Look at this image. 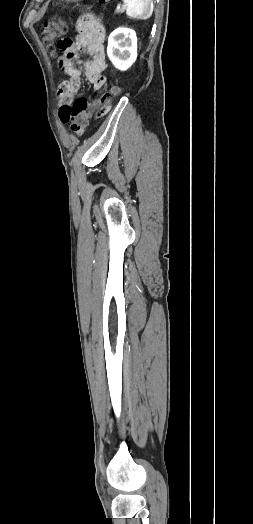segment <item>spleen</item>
Listing matches in <instances>:
<instances>
[{
  "instance_id": "spleen-1",
  "label": "spleen",
  "mask_w": 253,
  "mask_h": 524,
  "mask_svg": "<svg viewBox=\"0 0 253 524\" xmlns=\"http://www.w3.org/2000/svg\"><path fill=\"white\" fill-rule=\"evenodd\" d=\"M126 4V14L130 18L147 20L153 13L152 0H123Z\"/></svg>"
}]
</instances>
